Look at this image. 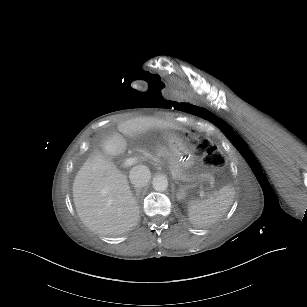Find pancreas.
I'll list each match as a JSON object with an SVG mask.
<instances>
[{
    "mask_svg": "<svg viewBox=\"0 0 307 307\" xmlns=\"http://www.w3.org/2000/svg\"><path fill=\"white\" fill-rule=\"evenodd\" d=\"M167 158H168L169 162L171 163L170 167H171L172 172L175 173L176 176L179 177V178L184 177L186 173H185L184 170L179 169L180 164L177 161L178 160L177 157L174 154L171 153V154L168 155Z\"/></svg>",
    "mask_w": 307,
    "mask_h": 307,
    "instance_id": "cf45deb5",
    "label": "pancreas"
}]
</instances>
